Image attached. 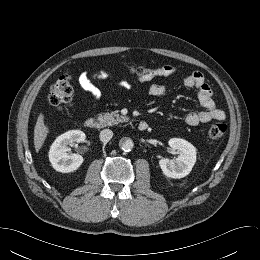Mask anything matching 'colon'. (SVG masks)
Masks as SVG:
<instances>
[{"label":"colon","instance_id":"obj_1","mask_svg":"<svg viewBox=\"0 0 260 260\" xmlns=\"http://www.w3.org/2000/svg\"><path fill=\"white\" fill-rule=\"evenodd\" d=\"M132 74L141 79L146 77L150 70L145 67H136L131 70ZM72 76L70 74L61 75L51 86L49 91V102L58 110H64L71 104L73 96ZM224 123H213L209 126L207 135L211 141L221 139L226 132Z\"/></svg>","mask_w":260,"mask_h":260}]
</instances>
